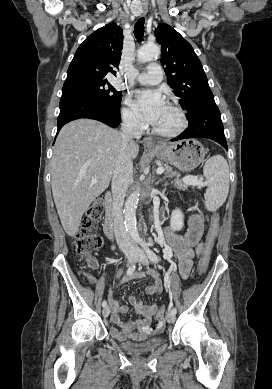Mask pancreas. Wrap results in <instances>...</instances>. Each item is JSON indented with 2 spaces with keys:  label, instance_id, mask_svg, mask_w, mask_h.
Instances as JSON below:
<instances>
[{
  "label": "pancreas",
  "instance_id": "pancreas-1",
  "mask_svg": "<svg viewBox=\"0 0 272 389\" xmlns=\"http://www.w3.org/2000/svg\"><path fill=\"white\" fill-rule=\"evenodd\" d=\"M164 170L166 171V175L167 177L169 178H172V177H175V179L173 180V183L176 185V187H178L180 190H187L189 186H195L194 184L192 183H186L184 182V179H180V174L175 171L172 167H170L169 165H164L163 166ZM188 177H194V176H188ZM186 178V177H185Z\"/></svg>",
  "mask_w": 272,
  "mask_h": 389
}]
</instances>
